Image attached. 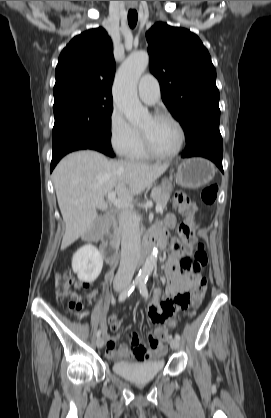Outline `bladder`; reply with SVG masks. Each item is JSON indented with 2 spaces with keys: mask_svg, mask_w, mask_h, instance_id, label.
Returning a JSON list of instances; mask_svg holds the SVG:
<instances>
[{
  "mask_svg": "<svg viewBox=\"0 0 271 418\" xmlns=\"http://www.w3.org/2000/svg\"><path fill=\"white\" fill-rule=\"evenodd\" d=\"M164 366V360L160 356L146 361L118 360L113 363L112 370L132 383L145 384L161 374Z\"/></svg>",
  "mask_w": 271,
  "mask_h": 418,
  "instance_id": "1",
  "label": "bladder"
}]
</instances>
